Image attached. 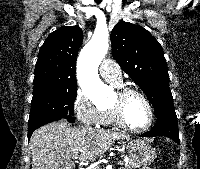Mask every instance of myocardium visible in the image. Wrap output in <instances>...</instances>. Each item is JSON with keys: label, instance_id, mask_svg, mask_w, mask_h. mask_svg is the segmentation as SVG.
I'll use <instances>...</instances> for the list:
<instances>
[{"label": "myocardium", "instance_id": "f54148a6", "mask_svg": "<svg viewBox=\"0 0 200 169\" xmlns=\"http://www.w3.org/2000/svg\"><path fill=\"white\" fill-rule=\"evenodd\" d=\"M116 95H117L116 102L110 105V110L113 114L116 124H118L123 129L128 130L130 132H134V133L144 132L152 126L154 122V109H153L151 101L149 100V98L146 96L145 93H143L141 90L137 88L121 86L117 89ZM129 95L139 96L145 102L148 108L149 120L147 124L141 128H133L129 126L125 120L124 111H123V102H124V99Z\"/></svg>", "mask_w": 200, "mask_h": 169}]
</instances>
